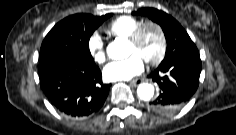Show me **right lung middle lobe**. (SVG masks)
Returning <instances> with one entry per match:
<instances>
[{"label": "right lung middle lobe", "mask_w": 236, "mask_h": 135, "mask_svg": "<svg viewBox=\"0 0 236 135\" xmlns=\"http://www.w3.org/2000/svg\"><path fill=\"white\" fill-rule=\"evenodd\" d=\"M110 16L112 13L101 17L75 14L58 22L43 40L39 64L54 63L71 55L79 56L88 63L95 64L89 50V39Z\"/></svg>", "instance_id": "right-lung-middle-lobe-1"}]
</instances>
